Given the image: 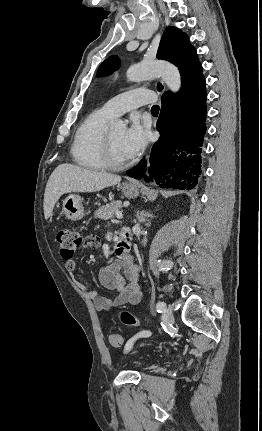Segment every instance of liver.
Here are the masks:
<instances>
[{"label":"liver","mask_w":262,"mask_h":431,"mask_svg":"<svg viewBox=\"0 0 262 431\" xmlns=\"http://www.w3.org/2000/svg\"><path fill=\"white\" fill-rule=\"evenodd\" d=\"M121 177L85 169L69 163L60 164L49 177L44 194V217L47 220L59 198L71 192H97L120 183Z\"/></svg>","instance_id":"6515ba94"}]
</instances>
